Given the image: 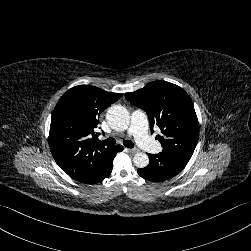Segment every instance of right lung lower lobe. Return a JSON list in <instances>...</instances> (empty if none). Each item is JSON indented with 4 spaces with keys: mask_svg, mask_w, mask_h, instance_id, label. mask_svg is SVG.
<instances>
[{
    "mask_svg": "<svg viewBox=\"0 0 251 251\" xmlns=\"http://www.w3.org/2000/svg\"><path fill=\"white\" fill-rule=\"evenodd\" d=\"M123 150V147L121 145L114 146V155L108 162L107 166L105 167L104 170L93 176L91 179L84 181L82 183H87V184H96L100 181H102L104 178L108 177L112 171V166H113V159L116 155V153L120 152ZM81 182V181H80Z\"/></svg>",
    "mask_w": 251,
    "mask_h": 251,
    "instance_id": "obj_1",
    "label": "right lung lower lobe"
}]
</instances>
